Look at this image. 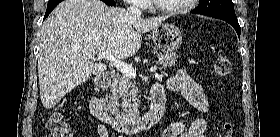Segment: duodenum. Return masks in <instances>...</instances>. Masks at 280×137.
I'll use <instances>...</instances> for the list:
<instances>
[{
    "label": "duodenum",
    "instance_id": "1",
    "mask_svg": "<svg viewBox=\"0 0 280 137\" xmlns=\"http://www.w3.org/2000/svg\"><path fill=\"white\" fill-rule=\"evenodd\" d=\"M116 76L113 73L107 74L96 87V93L90 98L89 109L95 119L110 125L114 130L132 134L155 126L163 112L165 104L164 87L161 84H154L151 87V102L149 110L142 116L126 121L112 120L104 107L105 93L107 88L114 85Z\"/></svg>",
    "mask_w": 280,
    "mask_h": 137
}]
</instances>
